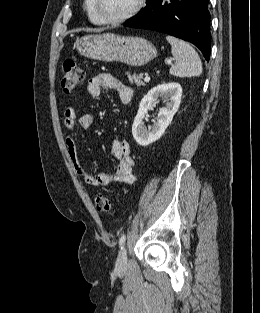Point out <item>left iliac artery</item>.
<instances>
[{
    "mask_svg": "<svg viewBox=\"0 0 260 313\" xmlns=\"http://www.w3.org/2000/svg\"><path fill=\"white\" fill-rule=\"evenodd\" d=\"M125 240H126V235L123 234L120 239H119V246L121 247L124 243H125Z\"/></svg>",
    "mask_w": 260,
    "mask_h": 313,
    "instance_id": "1",
    "label": "left iliac artery"
}]
</instances>
